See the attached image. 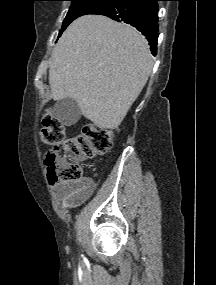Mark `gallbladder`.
<instances>
[{"label":"gallbladder","mask_w":216,"mask_h":285,"mask_svg":"<svg viewBox=\"0 0 216 285\" xmlns=\"http://www.w3.org/2000/svg\"><path fill=\"white\" fill-rule=\"evenodd\" d=\"M53 115L66 126L74 125L81 117V109L72 98L58 100L53 109Z\"/></svg>","instance_id":"bac80fb5"}]
</instances>
